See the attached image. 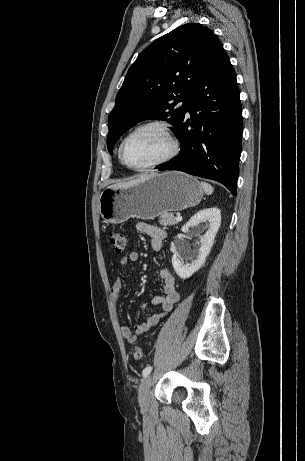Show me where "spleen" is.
<instances>
[{
    "label": "spleen",
    "instance_id": "obj_1",
    "mask_svg": "<svg viewBox=\"0 0 305 461\" xmlns=\"http://www.w3.org/2000/svg\"><path fill=\"white\" fill-rule=\"evenodd\" d=\"M200 184H201V186H202L204 192H205L207 195H210V194L213 193V190H214V189H213V187H212L210 184H208V183H206V182H201Z\"/></svg>",
    "mask_w": 305,
    "mask_h": 461
}]
</instances>
